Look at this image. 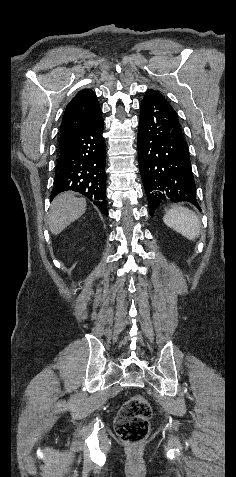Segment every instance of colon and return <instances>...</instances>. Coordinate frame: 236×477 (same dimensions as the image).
Instances as JSON below:
<instances>
[{
  "mask_svg": "<svg viewBox=\"0 0 236 477\" xmlns=\"http://www.w3.org/2000/svg\"><path fill=\"white\" fill-rule=\"evenodd\" d=\"M151 415V405L143 396L129 398L122 405L115 421L119 439L129 445L142 443L150 431Z\"/></svg>",
  "mask_w": 236,
  "mask_h": 477,
  "instance_id": "obj_1",
  "label": "colon"
}]
</instances>
